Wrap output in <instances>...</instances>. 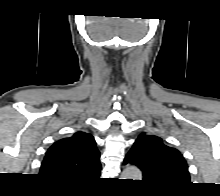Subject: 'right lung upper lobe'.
Here are the masks:
<instances>
[{"label": "right lung upper lobe", "instance_id": "1", "mask_svg": "<svg viewBox=\"0 0 220 196\" xmlns=\"http://www.w3.org/2000/svg\"><path fill=\"white\" fill-rule=\"evenodd\" d=\"M100 152L94 138L84 132L55 142L47 151L40 176L63 185L79 186L100 175Z\"/></svg>", "mask_w": 220, "mask_h": 196}]
</instances>
